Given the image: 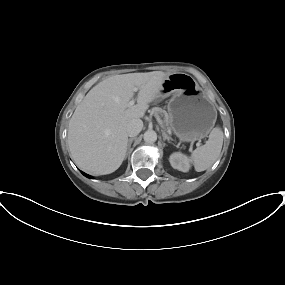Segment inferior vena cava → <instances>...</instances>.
<instances>
[{
    "mask_svg": "<svg viewBox=\"0 0 285 285\" xmlns=\"http://www.w3.org/2000/svg\"><path fill=\"white\" fill-rule=\"evenodd\" d=\"M143 127V122L140 119H133L131 120L127 127H126V131L129 137H135L137 136Z\"/></svg>",
    "mask_w": 285,
    "mask_h": 285,
    "instance_id": "1",
    "label": "inferior vena cava"
}]
</instances>
